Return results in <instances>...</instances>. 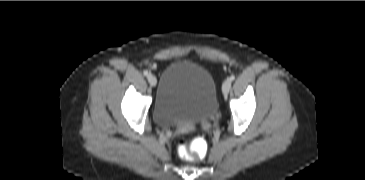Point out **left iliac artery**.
<instances>
[{
  "mask_svg": "<svg viewBox=\"0 0 365 180\" xmlns=\"http://www.w3.org/2000/svg\"><path fill=\"white\" fill-rule=\"evenodd\" d=\"M235 79V76L234 75H231L230 76V80L233 81Z\"/></svg>",
  "mask_w": 365,
  "mask_h": 180,
  "instance_id": "obj_1",
  "label": "left iliac artery"
}]
</instances>
